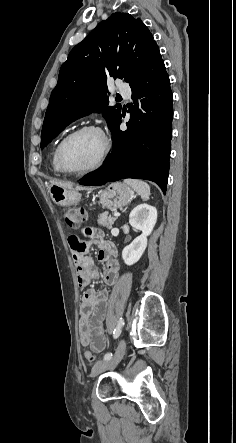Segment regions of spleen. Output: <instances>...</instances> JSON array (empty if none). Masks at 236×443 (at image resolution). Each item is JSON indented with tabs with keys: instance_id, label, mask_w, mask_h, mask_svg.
Segmentation results:
<instances>
[{
	"instance_id": "spleen-1",
	"label": "spleen",
	"mask_w": 236,
	"mask_h": 443,
	"mask_svg": "<svg viewBox=\"0 0 236 443\" xmlns=\"http://www.w3.org/2000/svg\"><path fill=\"white\" fill-rule=\"evenodd\" d=\"M124 183L131 186L133 190H135L142 199H148L150 196V186L142 181L137 179H126Z\"/></svg>"
}]
</instances>
